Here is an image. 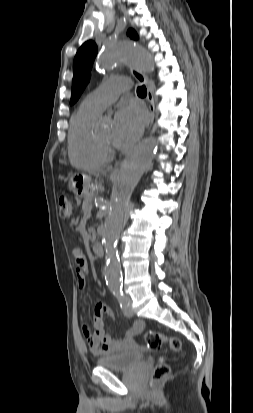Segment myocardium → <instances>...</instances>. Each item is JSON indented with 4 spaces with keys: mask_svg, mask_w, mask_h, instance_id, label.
<instances>
[{
    "mask_svg": "<svg viewBox=\"0 0 253 413\" xmlns=\"http://www.w3.org/2000/svg\"><path fill=\"white\" fill-rule=\"evenodd\" d=\"M95 142L99 148V150L105 154L107 157L112 154L113 150L110 143H107L100 139L97 134H95Z\"/></svg>",
    "mask_w": 253,
    "mask_h": 413,
    "instance_id": "f54148a6",
    "label": "myocardium"
}]
</instances>
